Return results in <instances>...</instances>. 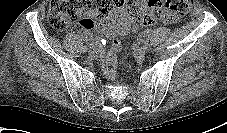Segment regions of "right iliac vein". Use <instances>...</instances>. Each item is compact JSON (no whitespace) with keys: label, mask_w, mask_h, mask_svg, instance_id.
Wrapping results in <instances>:
<instances>
[{"label":"right iliac vein","mask_w":227,"mask_h":133,"mask_svg":"<svg viewBox=\"0 0 227 133\" xmlns=\"http://www.w3.org/2000/svg\"><path fill=\"white\" fill-rule=\"evenodd\" d=\"M97 48L95 46H92L90 48H88L87 52L90 54V55H94L97 51Z\"/></svg>","instance_id":"obj_1"}]
</instances>
